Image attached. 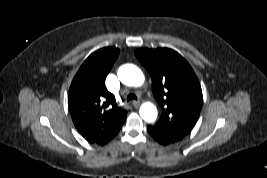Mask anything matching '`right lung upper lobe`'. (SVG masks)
I'll return each mask as SVG.
<instances>
[{"label":"right lung upper lobe","instance_id":"cb5924a9","mask_svg":"<svg viewBox=\"0 0 267 178\" xmlns=\"http://www.w3.org/2000/svg\"><path fill=\"white\" fill-rule=\"evenodd\" d=\"M120 50L106 47L92 53L76 73L68 92V107L79 133L90 143L105 145L121 129L127 111L105 86Z\"/></svg>","mask_w":267,"mask_h":178}]
</instances>
